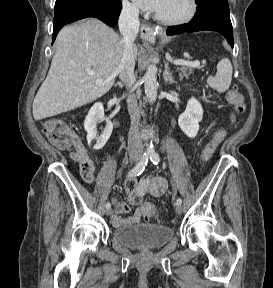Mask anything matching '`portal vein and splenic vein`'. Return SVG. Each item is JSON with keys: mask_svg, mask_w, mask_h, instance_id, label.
Here are the masks:
<instances>
[{"mask_svg": "<svg viewBox=\"0 0 273 288\" xmlns=\"http://www.w3.org/2000/svg\"><path fill=\"white\" fill-rule=\"evenodd\" d=\"M174 65H182V66H188L192 68H199L200 67V62L199 61H183V60H174L173 61ZM90 75H95L94 72H90ZM97 83H101V80H98Z\"/></svg>", "mask_w": 273, "mask_h": 288, "instance_id": "18ae733b", "label": "portal vein and splenic vein"}]
</instances>
